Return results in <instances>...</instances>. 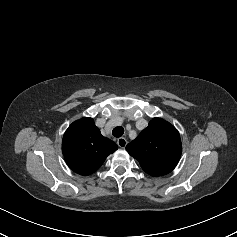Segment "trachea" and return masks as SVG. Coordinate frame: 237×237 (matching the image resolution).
Returning a JSON list of instances; mask_svg holds the SVG:
<instances>
[{
	"mask_svg": "<svg viewBox=\"0 0 237 237\" xmlns=\"http://www.w3.org/2000/svg\"><path fill=\"white\" fill-rule=\"evenodd\" d=\"M112 134L114 137L119 138L124 134V128L123 127H115L112 131Z\"/></svg>",
	"mask_w": 237,
	"mask_h": 237,
	"instance_id": "1",
	"label": "trachea"
}]
</instances>
